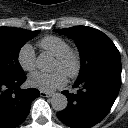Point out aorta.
<instances>
[{
	"label": "aorta",
	"instance_id": "obj_1",
	"mask_svg": "<svg viewBox=\"0 0 128 128\" xmlns=\"http://www.w3.org/2000/svg\"><path fill=\"white\" fill-rule=\"evenodd\" d=\"M36 66L40 71L50 72L54 69V59L46 53H41L36 60ZM67 97L56 93L51 98V106L56 111H62L67 107Z\"/></svg>",
	"mask_w": 128,
	"mask_h": 128
}]
</instances>
